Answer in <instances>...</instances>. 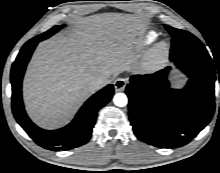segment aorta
I'll return each mask as SVG.
<instances>
[{
	"mask_svg": "<svg viewBox=\"0 0 220 173\" xmlns=\"http://www.w3.org/2000/svg\"><path fill=\"white\" fill-rule=\"evenodd\" d=\"M113 102L118 107H124L128 103V98L124 93H117L113 98Z\"/></svg>",
	"mask_w": 220,
	"mask_h": 173,
	"instance_id": "762f6f07",
	"label": "aorta"
}]
</instances>
